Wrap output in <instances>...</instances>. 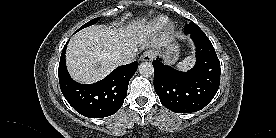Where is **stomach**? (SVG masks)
I'll return each mask as SVG.
<instances>
[{
  "label": "stomach",
  "mask_w": 276,
  "mask_h": 138,
  "mask_svg": "<svg viewBox=\"0 0 276 138\" xmlns=\"http://www.w3.org/2000/svg\"><path fill=\"white\" fill-rule=\"evenodd\" d=\"M179 47L175 42H169L165 50V60L169 64H173L179 57Z\"/></svg>",
  "instance_id": "stomach-1"
}]
</instances>
